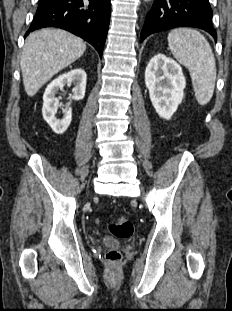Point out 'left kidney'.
I'll return each instance as SVG.
<instances>
[{"label": "left kidney", "instance_id": "left-kidney-1", "mask_svg": "<svg viewBox=\"0 0 232 311\" xmlns=\"http://www.w3.org/2000/svg\"><path fill=\"white\" fill-rule=\"evenodd\" d=\"M145 84L158 115L169 120L184 97L186 82L182 68L172 58L157 54L146 67Z\"/></svg>", "mask_w": 232, "mask_h": 311}]
</instances>
